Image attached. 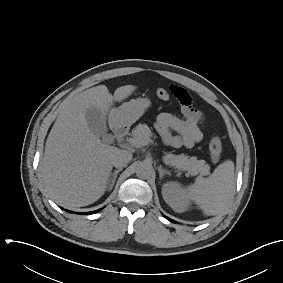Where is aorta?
I'll use <instances>...</instances> for the list:
<instances>
[{
	"label": "aorta",
	"instance_id": "aorta-1",
	"mask_svg": "<svg viewBox=\"0 0 283 283\" xmlns=\"http://www.w3.org/2000/svg\"><path fill=\"white\" fill-rule=\"evenodd\" d=\"M152 167L147 162H140L136 167V174L139 178H148L151 176Z\"/></svg>",
	"mask_w": 283,
	"mask_h": 283
}]
</instances>
